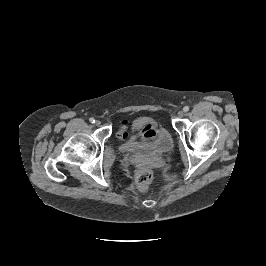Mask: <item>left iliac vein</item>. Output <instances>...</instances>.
Wrapping results in <instances>:
<instances>
[{"label": "left iliac vein", "mask_w": 266, "mask_h": 266, "mask_svg": "<svg viewBox=\"0 0 266 266\" xmlns=\"http://www.w3.org/2000/svg\"><path fill=\"white\" fill-rule=\"evenodd\" d=\"M184 116V112L183 111H179L178 112V117L182 118Z\"/></svg>", "instance_id": "left-iliac-vein-1"}]
</instances>
